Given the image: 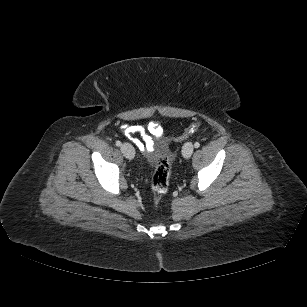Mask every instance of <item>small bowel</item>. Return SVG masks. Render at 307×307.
<instances>
[{
	"label": "small bowel",
	"instance_id": "small-bowel-1",
	"mask_svg": "<svg viewBox=\"0 0 307 307\" xmlns=\"http://www.w3.org/2000/svg\"><path fill=\"white\" fill-rule=\"evenodd\" d=\"M122 132L132 139L136 146L143 152L151 153L156 146L164 147L162 138L163 129L158 122H149L146 127L124 124ZM140 135L142 140L134 139V135Z\"/></svg>",
	"mask_w": 307,
	"mask_h": 307
}]
</instances>
